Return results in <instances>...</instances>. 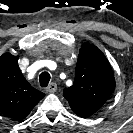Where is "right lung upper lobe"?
<instances>
[{
	"instance_id": "obj_1",
	"label": "right lung upper lobe",
	"mask_w": 133,
	"mask_h": 133,
	"mask_svg": "<svg viewBox=\"0 0 133 133\" xmlns=\"http://www.w3.org/2000/svg\"><path fill=\"white\" fill-rule=\"evenodd\" d=\"M45 96L34 89L22 75L18 56L5 53L0 57V112L17 121L23 120Z\"/></svg>"
}]
</instances>
